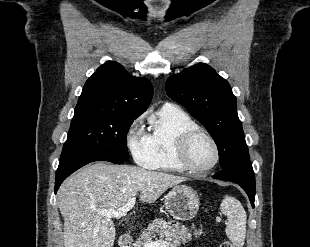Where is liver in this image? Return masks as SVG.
<instances>
[{"label":"liver","instance_id":"obj_1","mask_svg":"<svg viewBox=\"0 0 310 247\" xmlns=\"http://www.w3.org/2000/svg\"><path fill=\"white\" fill-rule=\"evenodd\" d=\"M182 176L131 165L96 162L67 178L58 191L64 219V247H113L115 225L103 210H117L140 194L153 203L168 188L185 181Z\"/></svg>","mask_w":310,"mask_h":247}]
</instances>
